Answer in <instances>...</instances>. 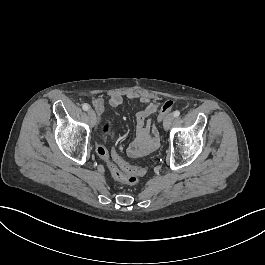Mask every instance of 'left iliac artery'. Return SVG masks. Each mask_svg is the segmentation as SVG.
I'll return each mask as SVG.
<instances>
[{
    "label": "left iliac artery",
    "mask_w": 265,
    "mask_h": 265,
    "mask_svg": "<svg viewBox=\"0 0 265 265\" xmlns=\"http://www.w3.org/2000/svg\"><path fill=\"white\" fill-rule=\"evenodd\" d=\"M173 115H174L175 118L179 117V115H180V111H179V110H175V111L173 112Z\"/></svg>",
    "instance_id": "1"
}]
</instances>
